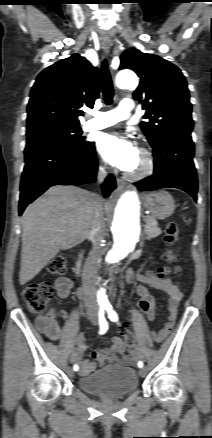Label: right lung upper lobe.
I'll return each instance as SVG.
<instances>
[{"label":"right lung upper lobe","mask_w":212,"mask_h":438,"mask_svg":"<svg viewBox=\"0 0 212 438\" xmlns=\"http://www.w3.org/2000/svg\"><path fill=\"white\" fill-rule=\"evenodd\" d=\"M99 71L79 54L44 69L36 78L27 107V130L62 125L79 127L82 106L99 96Z\"/></svg>","instance_id":"obj_1"}]
</instances>
